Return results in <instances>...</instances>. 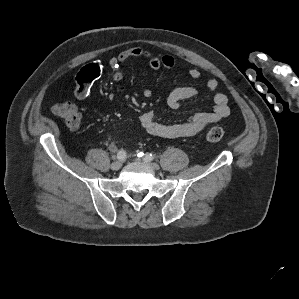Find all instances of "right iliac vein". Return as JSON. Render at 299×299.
<instances>
[{"label":"right iliac vein","instance_id":"63e3f726","mask_svg":"<svg viewBox=\"0 0 299 299\" xmlns=\"http://www.w3.org/2000/svg\"><path fill=\"white\" fill-rule=\"evenodd\" d=\"M122 163L120 161H115L111 164V169L117 171L121 168Z\"/></svg>","mask_w":299,"mask_h":299}]
</instances>
